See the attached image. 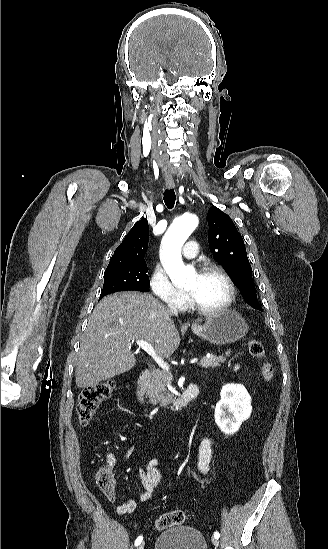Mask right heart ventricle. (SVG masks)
<instances>
[{
	"instance_id": "e07e8e85",
	"label": "right heart ventricle",
	"mask_w": 328,
	"mask_h": 549,
	"mask_svg": "<svg viewBox=\"0 0 328 549\" xmlns=\"http://www.w3.org/2000/svg\"><path fill=\"white\" fill-rule=\"evenodd\" d=\"M185 304V301L181 303V307Z\"/></svg>"
}]
</instances>
